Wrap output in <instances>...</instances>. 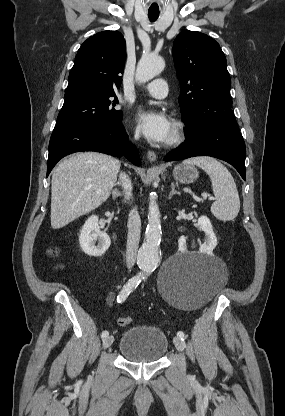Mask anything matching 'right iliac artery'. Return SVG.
I'll use <instances>...</instances> for the list:
<instances>
[{"instance_id":"obj_1","label":"right iliac artery","mask_w":285,"mask_h":416,"mask_svg":"<svg viewBox=\"0 0 285 416\" xmlns=\"http://www.w3.org/2000/svg\"><path fill=\"white\" fill-rule=\"evenodd\" d=\"M142 274H137L136 276L129 279V281L123 286L122 290L120 291L119 295L117 296V302L122 303L126 300L129 294L137 288L139 283L141 282ZM109 335L107 330H104L101 334L102 338H105Z\"/></svg>"}]
</instances>
